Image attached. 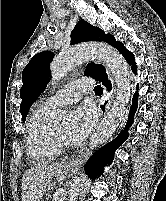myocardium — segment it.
Here are the masks:
<instances>
[{
  "label": "myocardium",
  "instance_id": "1",
  "mask_svg": "<svg viewBox=\"0 0 166 201\" xmlns=\"http://www.w3.org/2000/svg\"><path fill=\"white\" fill-rule=\"evenodd\" d=\"M53 137L60 149H68L71 147L69 142L58 132L55 126H53Z\"/></svg>",
  "mask_w": 166,
  "mask_h": 201
}]
</instances>
